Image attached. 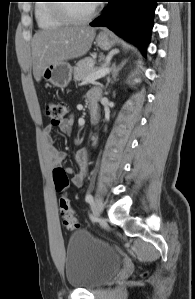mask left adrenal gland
Wrapping results in <instances>:
<instances>
[{
  "label": "left adrenal gland",
  "mask_w": 195,
  "mask_h": 299,
  "mask_svg": "<svg viewBox=\"0 0 195 299\" xmlns=\"http://www.w3.org/2000/svg\"><path fill=\"white\" fill-rule=\"evenodd\" d=\"M125 62H123L120 66H116L115 63L113 64V78L115 79L116 76L118 75L119 70L121 69V67L124 65Z\"/></svg>",
  "instance_id": "left-adrenal-gland-1"
}]
</instances>
